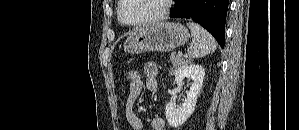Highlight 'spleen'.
I'll return each instance as SVG.
<instances>
[{
	"instance_id": "obj_1",
	"label": "spleen",
	"mask_w": 299,
	"mask_h": 130,
	"mask_svg": "<svg viewBox=\"0 0 299 130\" xmlns=\"http://www.w3.org/2000/svg\"><path fill=\"white\" fill-rule=\"evenodd\" d=\"M187 26L192 35V43L187 50L189 58L204 57L216 50L215 39L203 27L194 22H188Z\"/></svg>"
}]
</instances>
